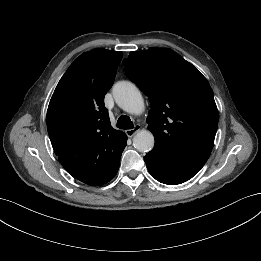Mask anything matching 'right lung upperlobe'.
Returning a JSON list of instances; mask_svg holds the SVG:
<instances>
[{"instance_id": "cb5924a9", "label": "right lung upper lobe", "mask_w": 261, "mask_h": 261, "mask_svg": "<svg viewBox=\"0 0 261 261\" xmlns=\"http://www.w3.org/2000/svg\"><path fill=\"white\" fill-rule=\"evenodd\" d=\"M122 52L95 49L80 55L60 79L47 111V129L56 155L74 178L104 182L119 166L127 142L115 130L104 105Z\"/></svg>"}]
</instances>
